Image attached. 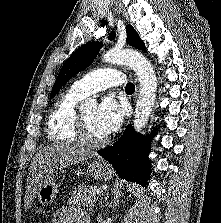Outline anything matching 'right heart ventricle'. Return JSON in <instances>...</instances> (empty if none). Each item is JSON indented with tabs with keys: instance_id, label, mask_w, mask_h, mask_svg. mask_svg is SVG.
Instances as JSON below:
<instances>
[{
	"instance_id": "right-heart-ventricle-1",
	"label": "right heart ventricle",
	"mask_w": 221,
	"mask_h": 223,
	"mask_svg": "<svg viewBox=\"0 0 221 223\" xmlns=\"http://www.w3.org/2000/svg\"><path fill=\"white\" fill-rule=\"evenodd\" d=\"M82 98L71 89L58 97L48 115L46 133L50 141L77 142L74 132L78 118L76 106Z\"/></svg>"
}]
</instances>
